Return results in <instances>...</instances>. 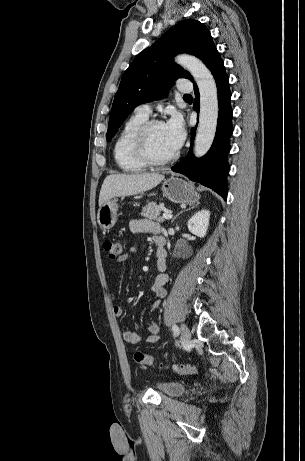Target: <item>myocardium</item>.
<instances>
[{
	"instance_id": "obj_1",
	"label": "myocardium",
	"mask_w": 305,
	"mask_h": 461,
	"mask_svg": "<svg viewBox=\"0 0 305 461\" xmlns=\"http://www.w3.org/2000/svg\"><path fill=\"white\" fill-rule=\"evenodd\" d=\"M158 125H164L159 119H150L144 122L137 130L133 142L132 149L135 157L146 166L157 167L169 164L175 161L179 156V151L164 159H155L151 156L148 149V140L151 130Z\"/></svg>"
}]
</instances>
